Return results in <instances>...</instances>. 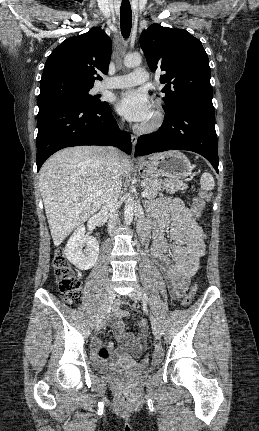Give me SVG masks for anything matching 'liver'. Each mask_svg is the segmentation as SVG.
Here are the masks:
<instances>
[{"instance_id":"1","label":"liver","mask_w":259,"mask_h":431,"mask_svg":"<svg viewBox=\"0 0 259 431\" xmlns=\"http://www.w3.org/2000/svg\"><path fill=\"white\" fill-rule=\"evenodd\" d=\"M106 154L107 150L96 146L69 147L42 166L39 187L55 246L101 208L107 179ZM119 165L125 177L131 167L129 158L120 154Z\"/></svg>"}]
</instances>
